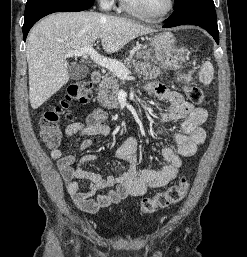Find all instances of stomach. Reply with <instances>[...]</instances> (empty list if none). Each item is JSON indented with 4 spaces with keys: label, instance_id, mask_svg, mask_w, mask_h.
<instances>
[{
    "label": "stomach",
    "instance_id": "stomach-1",
    "mask_svg": "<svg viewBox=\"0 0 247 257\" xmlns=\"http://www.w3.org/2000/svg\"><path fill=\"white\" fill-rule=\"evenodd\" d=\"M151 46L153 49L151 58L165 69H179L185 61V50L171 32L155 35L151 40Z\"/></svg>",
    "mask_w": 247,
    "mask_h": 257
}]
</instances>
